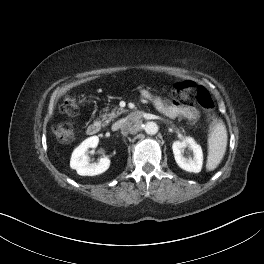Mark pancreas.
Here are the masks:
<instances>
[{
    "label": "pancreas",
    "instance_id": "1",
    "mask_svg": "<svg viewBox=\"0 0 264 264\" xmlns=\"http://www.w3.org/2000/svg\"><path fill=\"white\" fill-rule=\"evenodd\" d=\"M104 111H106V113H104L101 117H102V125L106 126L110 123V121H112L114 118L118 117L119 115H121L122 113L125 112V110L123 108L120 107H115L112 112L108 113V109H104Z\"/></svg>",
    "mask_w": 264,
    "mask_h": 264
}]
</instances>
